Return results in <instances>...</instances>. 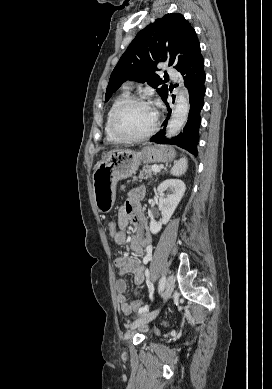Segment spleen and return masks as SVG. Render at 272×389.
<instances>
[{"mask_svg": "<svg viewBox=\"0 0 272 389\" xmlns=\"http://www.w3.org/2000/svg\"><path fill=\"white\" fill-rule=\"evenodd\" d=\"M187 167H188L187 159L183 157L180 160H178L171 168V174L174 176H180L186 172Z\"/></svg>", "mask_w": 272, "mask_h": 389, "instance_id": "1", "label": "spleen"}]
</instances>
